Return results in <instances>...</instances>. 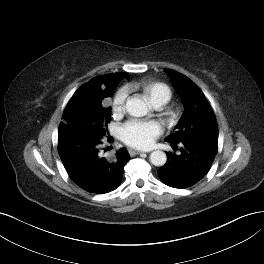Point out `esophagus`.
Listing matches in <instances>:
<instances>
[{"mask_svg": "<svg viewBox=\"0 0 264 264\" xmlns=\"http://www.w3.org/2000/svg\"><path fill=\"white\" fill-rule=\"evenodd\" d=\"M128 153H129L130 156H135V155L141 154L142 152L141 151H137V150H133V149H129Z\"/></svg>", "mask_w": 264, "mask_h": 264, "instance_id": "esophagus-1", "label": "esophagus"}]
</instances>
